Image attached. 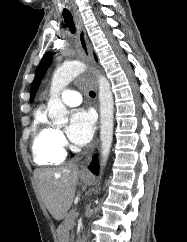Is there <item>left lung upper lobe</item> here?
Masks as SVG:
<instances>
[{
	"instance_id": "left-lung-upper-lobe-1",
	"label": "left lung upper lobe",
	"mask_w": 187,
	"mask_h": 242,
	"mask_svg": "<svg viewBox=\"0 0 187 242\" xmlns=\"http://www.w3.org/2000/svg\"><path fill=\"white\" fill-rule=\"evenodd\" d=\"M52 61V55L51 53H46V55L43 56L40 64L38 65L36 72H35V78L31 85V91H30V101L32 102L34 100L36 91L40 85V82L44 76V74L47 71V68L50 66Z\"/></svg>"
}]
</instances>
